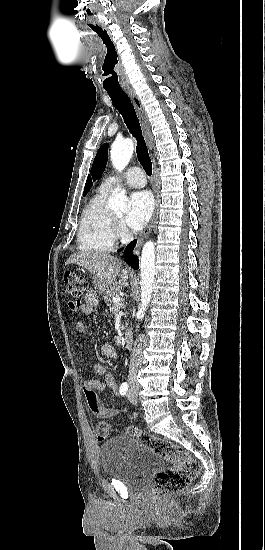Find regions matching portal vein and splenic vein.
Masks as SVG:
<instances>
[{"mask_svg": "<svg viewBox=\"0 0 265 550\" xmlns=\"http://www.w3.org/2000/svg\"><path fill=\"white\" fill-rule=\"evenodd\" d=\"M113 304H114L115 307H120V306L123 305V299H121V297H119V296L115 297L113 299Z\"/></svg>", "mask_w": 265, "mask_h": 550, "instance_id": "1", "label": "portal vein and splenic vein"}]
</instances>
